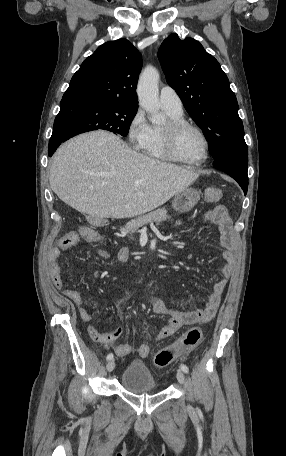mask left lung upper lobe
I'll use <instances>...</instances> for the list:
<instances>
[{
  "label": "left lung upper lobe",
  "instance_id": "5c2ea615",
  "mask_svg": "<svg viewBox=\"0 0 286 456\" xmlns=\"http://www.w3.org/2000/svg\"><path fill=\"white\" fill-rule=\"evenodd\" d=\"M168 84L203 130L214 160L229 154L248 155L238 103L218 61L193 38L169 35L158 50Z\"/></svg>",
  "mask_w": 286,
  "mask_h": 456
}]
</instances>
